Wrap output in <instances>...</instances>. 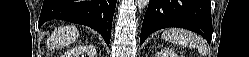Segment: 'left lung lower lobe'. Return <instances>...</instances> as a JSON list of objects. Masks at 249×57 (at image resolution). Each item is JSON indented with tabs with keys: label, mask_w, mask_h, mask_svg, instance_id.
I'll return each mask as SVG.
<instances>
[{
	"label": "left lung lower lobe",
	"mask_w": 249,
	"mask_h": 57,
	"mask_svg": "<svg viewBox=\"0 0 249 57\" xmlns=\"http://www.w3.org/2000/svg\"><path fill=\"white\" fill-rule=\"evenodd\" d=\"M166 27L194 31L210 43V0H150L142 24L140 43L142 44L151 33Z\"/></svg>",
	"instance_id": "obj_1"
}]
</instances>
